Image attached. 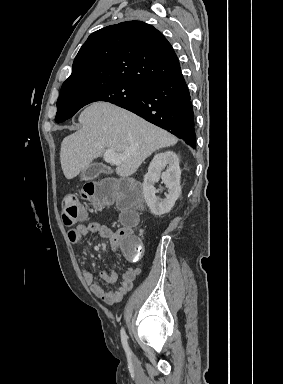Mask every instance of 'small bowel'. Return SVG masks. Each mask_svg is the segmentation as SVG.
I'll return each mask as SVG.
<instances>
[{
  "label": "small bowel",
  "mask_w": 283,
  "mask_h": 384,
  "mask_svg": "<svg viewBox=\"0 0 283 384\" xmlns=\"http://www.w3.org/2000/svg\"><path fill=\"white\" fill-rule=\"evenodd\" d=\"M89 233L96 234L101 238L110 239L113 248H116L118 245L117 235L112 231V229L109 226L97 221L76 226L69 231L68 237L72 243H79ZM80 254H82V251H80ZM82 272L84 280L89 285L92 293L106 304L114 305L119 303L132 289L133 282L141 273V269L139 267H129L122 274L118 287L110 291L105 290L100 284H98L95 277L89 270L83 269ZM98 278L107 284H115L119 280V274L115 270H101L98 273Z\"/></svg>",
  "instance_id": "1"
}]
</instances>
